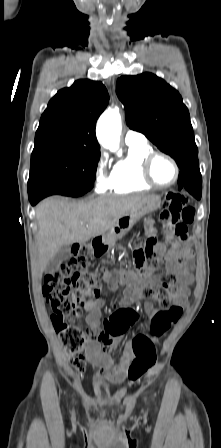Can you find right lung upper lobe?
Here are the masks:
<instances>
[{"label": "right lung upper lobe", "mask_w": 221, "mask_h": 448, "mask_svg": "<svg viewBox=\"0 0 221 448\" xmlns=\"http://www.w3.org/2000/svg\"><path fill=\"white\" fill-rule=\"evenodd\" d=\"M108 101V92L98 81L78 80L58 91L41 116L34 148L77 144L100 150L95 126Z\"/></svg>", "instance_id": "obj_1"}]
</instances>
